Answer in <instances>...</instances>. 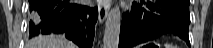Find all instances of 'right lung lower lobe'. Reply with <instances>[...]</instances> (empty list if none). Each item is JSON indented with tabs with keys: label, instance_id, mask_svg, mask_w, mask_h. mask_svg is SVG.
Instances as JSON below:
<instances>
[{
	"label": "right lung lower lobe",
	"instance_id": "obj_1",
	"mask_svg": "<svg viewBox=\"0 0 213 48\" xmlns=\"http://www.w3.org/2000/svg\"><path fill=\"white\" fill-rule=\"evenodd\" d=\"M29 38L41 34H65L80 48H92L97 8L73 0H29Z\"/></svg>",
	"mask_w": 213,
	"mask_h": 48
}]
</instances>
